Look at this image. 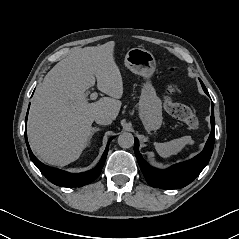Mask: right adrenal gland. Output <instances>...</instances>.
I'll use <instances>...</instances> for the list:
<instances>
[{
    "label": "right adrenal gland",
    "instance_id": "obj_1",
    "mask_svg": "<svg viewBox=\"0 0 239 239\" xmlns=\"http://www.w3.org/2000/svg\"><path fill=\"white\" fill-rule=\"evenodd\" d=\"M99 130H100L99 127H93V128H92V134H91V137H90V139H89V141H88V144L90 143V140H91L92 136L94 135V133L97 132V131H99Z\"/></svg>",
    "mask_w": 239,
    "mask_h": 239
}]
</instances>
